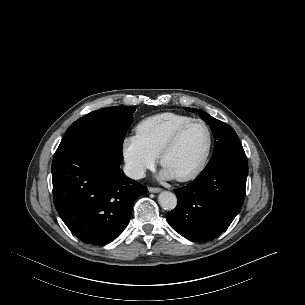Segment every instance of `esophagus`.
Returning a JSON list of instances; mask_svg holds the SVG:
<instances>
[{"instance_id":"34e87169","label":"esophagus","mask_w":305,"mask_h":305,"mask_svg":"<svg viewBox=\"0 0 305 305\" xmlns=\"http://www.w3.org/2000/svg\"><path fill=\"white\" fill-rule=\"evenodd\" d=\"M162 189L159 188V187H149L148 188V191L151 192V193H158L160 192Z\"/></svg>"}]
</instances>
